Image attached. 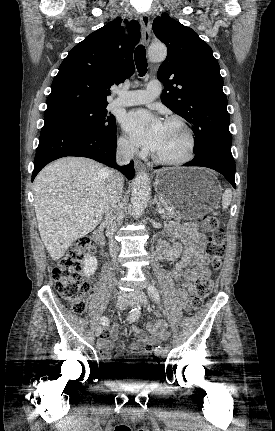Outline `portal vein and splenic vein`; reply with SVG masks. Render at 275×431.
<instances>
[{"label":"portal vein and splenic vein","instance_id":"1","mask_svg":"<svg viewBox=\"0 0 275 431\" xmlns=\"http://www.w3.org/2000/svg\"><path fill=\"white\" fill-rule=\"evenodd\" d=\"M165 211H166L165 209L161 208V209L158 210V213L159 214H163V213H165Z\"/></svg>","mask_w":275,"mask_h":431}]
</instances>
